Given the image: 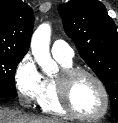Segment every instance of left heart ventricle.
<instances>
[{"label": "left heart ventricle", "instance_id": "1", "mask_svg": "<svg viewBox=\"0 0 118 123\" xmlns=\"http://www.w3.org/2000/svg\"><path fill=\"white\" fill-rule=\"evenodd\" d=\"M70 96L75 109L83 115L95 116L103 111V94L89 77L77 79L72 85Z\"/></svg>", "mask_w": 118, "mask_h": 123}]
</instances>
